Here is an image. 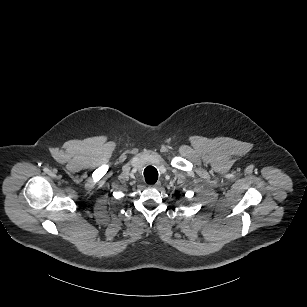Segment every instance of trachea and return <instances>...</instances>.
I'll return each mask as SVG.
<instances>
[{
  "label": "trachea",
  "instance_id": "obj_1",
  "mask_svg": "<svg viewBox=\"0 0 307 307\" xmlns=\"http://www.w3.org/2000/svg\"><path fill=\"white\" fill-rule=\"evenodd\" d=\"M144 177L148 184H154L158 179L157 169L153 166H148L144 170Z\"/></svg>",
  "mask_w": 307,
  "mask_h": 307
}]
</instances>
